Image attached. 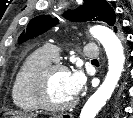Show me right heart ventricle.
Here are the masks:
<instances>
[{
	"label": "right heart ventricle",
	"mask_w": 133,
	"mask_h": 118,
	"mask_svg": "<svg viewBox=\"0 0 133 118\" xmlns=\"http://www.w3.org/2000/svg\"><path fill=\"white\" fill-rule=\"evenodd\" d=\"M52 60L43 49H39L29 55L20 67L12 84L11 96L21 111L33 112L40 108L33 95V81Z\"/></svg>",
	"instance_id": "e07e8e85"
}]
</instances>
